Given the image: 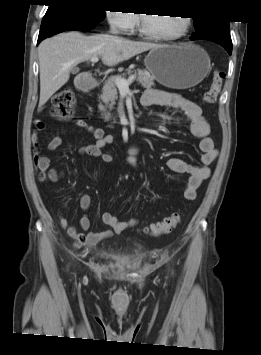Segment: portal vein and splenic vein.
Returning a JSON list of instances; mask_svg holds the SVG:
<instances>
[{
  "mask_svg": "<svg viewBox=\"0 0 261 355\" xmlns=\"http://www.w3.org/2000/svg\"><path fill=\"white\" fill-rule=\"evenodd\" d=\"M99 58L98 57H92L90 61L92 63L98 62ZM135 76L132 75L130 76L127 80L123 78H117L115 80V84L118 87L120 91H128L129 90V85L134 81Z\"/></svg>",
  "mask_w": 261,
  "mask_h": 355,
  "instance_id": "18ae733b",
  "label": "portal vein and splenic vein"
}]
</instances>
